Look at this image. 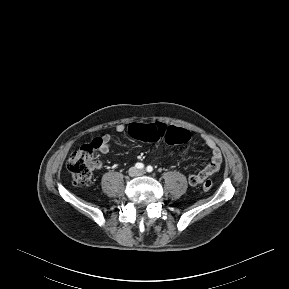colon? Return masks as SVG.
Returning a JSON list of instances; mask_svg holds the SVG:
<instances>
[{
  "label": "colon",
  "instance_id": "colon-1",
  "mask_svg": "<svg viewBox=\"0 0 289 289\" xmlns=\"http://www.w3.org/2000/svg\"><path fill=\"white\" fill-rule=\"evenodd\" d=\"M129 133L134 138H144L150 142H156L164 139L170 144L183 143L189 139V132L182 128L169 126L166 122L132 123ZM102 142L100 138L92 142L81 145L74 151L67 161V169L71 173L73 181L78 186L86 185L96 167L97 152ZM213 182L206 180L202 187L205 191L212 188Z\"/></svg>",
  "mask_w": 289,
  "mask_h": 289
}]
</instances>
